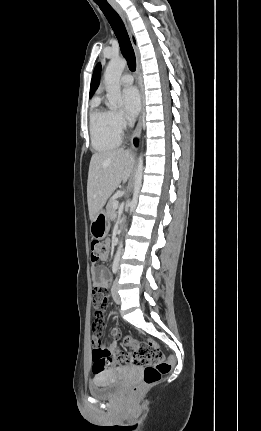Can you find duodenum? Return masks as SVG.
Masks as SVG:
<instances>
[{"mask_svg":"<svg viewBox=\"0 0 261 431\" xmlns=\"http://www.w3.org/2000/svg\"><path fill=\"white\" fill-rule=\"evenodd\" d=\"M122 227L119 229V231H118V234H121L122 233Z\"/></svg>","mask_w":261,"mask_h":431,"instance_id":"duodenum-1","label":"duodenum"}]
</instances>
